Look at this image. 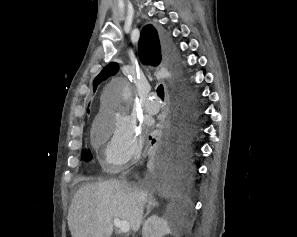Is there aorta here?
Wrapping results in <instances>:
<instances>
[{
    "instance_id": "1",
    "label": "aorta",
    "mask_w": 297,
    "mask_h": 237,
    "mask_svg": "<svg viewBox=\"0 0 297 237\" xmlns=\"http://www.w3.org/2000/svg\"><path fill=\"white\" fill-rule=\"evenodd\" d=\"M124 96H127V93H124Z\"/></svg>"
}]
</instances>
